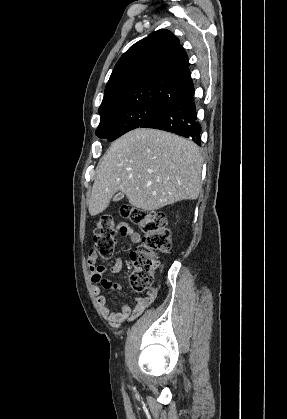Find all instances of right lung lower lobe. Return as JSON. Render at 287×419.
<instances>
[{"label": "right lung lower lobe", "instance_id": "right-lung-lower-lobe-1", "mask_svg": "<svg viewBox=\"0 0 287 419\" xmlns=\"http://www.w3.org/2000/svg\"><path fill=\"white\" fill-rule=\"evenodd\" d=\"M193 95L194 91L170 101L140 127L172 132L199 144L201 127L197 122Z\"/></svg>", "mask_w": 287, "mask_h": 419}]
</instances>
